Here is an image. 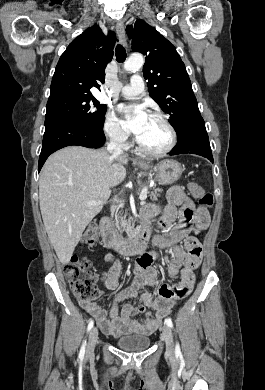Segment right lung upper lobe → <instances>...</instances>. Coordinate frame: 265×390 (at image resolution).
<instances>
[{
  "label": "right lung upper lobe",
  "mask_w": 265,
  "mask_h": 390,
  "mask_svg": "<svg viewBox=\"0 0 265 390\" xmlns=\"http://www.w3.org/2000/svg\"><path fill=\"white\" fill-rule=\"evenodd\" d=\"M116 35L105 36L98 26L86 29L76 37L61 55L51 82L50 99L66 95H92L90 89L100 90L104 71L112 59Z\"/></svg>",
  "instance_id": "cb5924a9"
}]
</instances>
